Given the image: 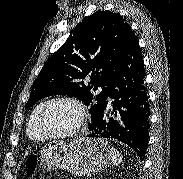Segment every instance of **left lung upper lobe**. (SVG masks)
Here are the masks:
<instances>
[{
    "mask_svg": "<svg viewBox=\"0 0 183 179\" xmlns=\"http://www.w3.org/2000/svg\"><path fill=\"white\" fill-rule=\"evenodd\" d=\"M130 30L117 13L98 11L86 17L44 64L25 109L43 97L67 95L90 106L94 121L106 104L108 84ZM86 78L90 81L85 82ZM98 86L103 90L94 96L90 90Z\"/></svg>",
    "mask_w": 183,
    "mask_h": 179,
    "instance_id": "1",
    "label": "left lung upper lobe"
}]
</instances>
